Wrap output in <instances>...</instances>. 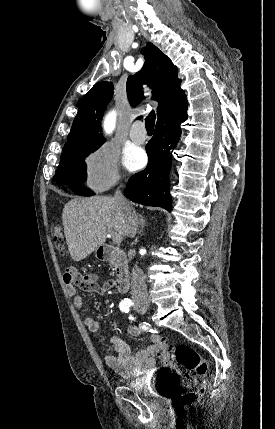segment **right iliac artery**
I'll return each mask as SVG.
<instances>
[{"label":"right iliac artery","mask_w":275,"mask_h":429,"mask_svg":"<svg viewBox=\"0 0 275 429\" xmlns=\"http://www.w3.org/2000/svg\"><path fill=\"white\" fill-rule=\"evenodd\" d=\"M130 309V305L127 302L120 304V310L124 313H128Z\"/></svg>","instance_id":"right-iliac-artery-1"}]
</instances>
